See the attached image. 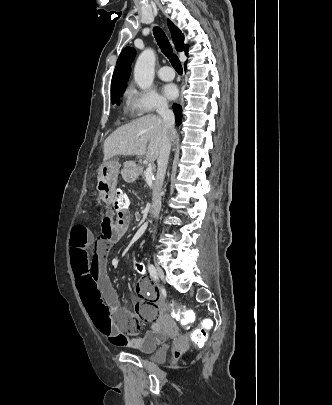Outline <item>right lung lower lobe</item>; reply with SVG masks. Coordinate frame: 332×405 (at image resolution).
Wrapping results in <instances>:
<instances>
[{"mask_svg": "<svg viewBox=\"0 0 332 405\" xmlns=\"http://www.w3.org/2000/svg\"><path fill=\"white\" fill-rule=\"evenodd\" d=\"M173 109L175 113L176 123L177 125H180L182 120V108L180 105L173 104Z\"/></svg>", "mask_w": 332, "mask_h": 405, "instance_id": "98d812e1", "label": "right lung lower lobe"}]
</instances>
